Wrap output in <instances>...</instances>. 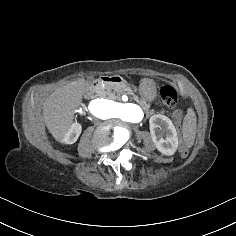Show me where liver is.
<instances>
[{
    "label": "liver",
    "mask_w": 236,
    "mask_h": 236,
    "mask_svg": "<svg viewBox=\"0 0 236 236\" xmlns=\"http://www.w3.org/2000/svg\"><path fill=\"white\" fill-rule=\"evenodd\" d=\"M87 88L84 79L70 82L56 89L43 103V120L55 139L62 137L70 128L74 110L80 105Z\"/></svg>",
    "instance_id": "6515ba94"
}]
</instances>
